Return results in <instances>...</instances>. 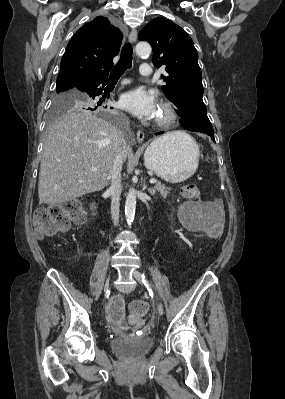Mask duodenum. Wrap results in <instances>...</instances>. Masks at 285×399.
Returning <instances> with one entry per match:
<instances>
[{"label": "duodenum", "instance_id": "1", "mask_svg": "<svg viewBox=\"0 0 285 399\" xmlns=\"http://www.w3.org/2000/svg\"><path fill=\"white\" fill-rule=\"evenodd\" d=\"M92 221L93 223H96L97 219H96V208L94 206H92Z\"/></svg>", "mask_w": 285, "mask_h": 399}]
</instances>
